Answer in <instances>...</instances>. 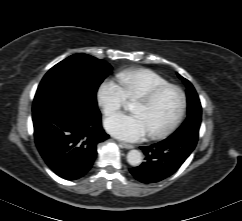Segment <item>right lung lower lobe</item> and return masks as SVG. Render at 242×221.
Segmentation results:
<instances>
[{
  "label": "right lung lower lobe",
  "mask_w": 242,
  "mask_h": 221,
  "mask_svg": "<svg viewBox=\"0 0 242 221\" xmlns=\"http://www.w3.org/2000/svg\"><path fill=\"white\" fill-rule=\"evenodd\" d=\"M32 118L41 156L53 172L67 180L90 170L97 145L109 137L102 129L99 110L80 113L50 105L33 111Z\"/></svg>",
  "instance_id": "1"
}]
</instances>
